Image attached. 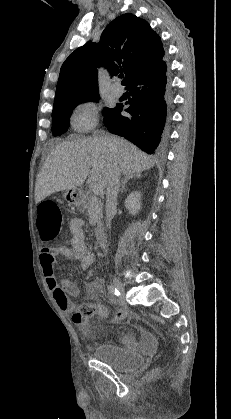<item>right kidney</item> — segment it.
<instances>
[{"label": "right kidney", "instance_id": "1", "mask_svg": "<svg viewBox=\"0 0 231 419\" xmlns=\"http://www.w3.org/2000/svg\"><path fill=\"white\" fill-rule=\"evenodd\" d=\"M141 192L135 191L130 193L125 200V207L130 214L136 215L141 209Z\"/></svg>", "mask_w": 231, "mask_h": 419}]
</instances>
